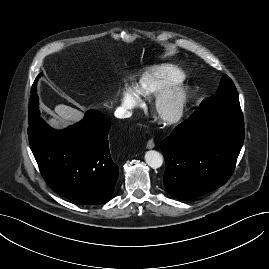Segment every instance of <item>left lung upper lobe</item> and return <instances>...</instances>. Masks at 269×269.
<instances>
[{"instance_id":"1","label":"left lung upper lobe","mask_w":269,"mask_h":269,"mask_svg":"<svg viewBox=\"0 0 269 269\" xmlns=\"http://www.w3.org/2000/svg\"><path fill=\"white\" fill-rule=\"evenodd\" d=\"M208 107L219 104H240L236 87L230 77L224 75L216 94L206 99Z\"/></svg>"}]
</instances>
